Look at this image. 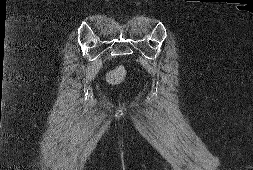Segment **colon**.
<instances>
[{
	"label": "colon",
	"instance_id": "5ec220e1",
	"mask_svg": "<svg viewBox=\"0 0 253 170\" xmlns=\"http://www.w3.org/2000/svg\"><path fill=\"white\" fill-rule=\"evenodd\" d=\"M125 76H126L125 68L123 66H119L108 73L107 82L112 85L118 84L124 79Z\"/></svg>",
	"mask_w": 253,
	"mask_h": 170
}]
</instances>
